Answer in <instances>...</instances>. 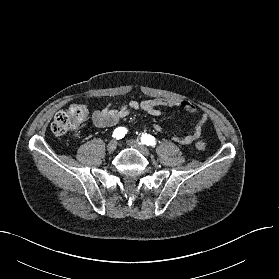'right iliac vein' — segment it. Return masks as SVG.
I'll return each instance as SVG.
<instances>
[{
  "mask_svg": "<svg viewBox=\"0 0 279 279\" xmlns=\"http://www.w3.org/2000/svg\"><path fill=\"white\" fill-rule=\"evenodd\" d=\"M117 148V141L116 140H111L108 145H107V151L109 153H112L116 150Z\"/></svg>",
  "mask_w": 279,
  "mask_h": 279,
  "instance_id": "63e3f726",
  "label": "right iliac vein"
}]
</instances>
